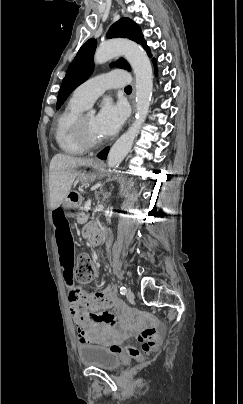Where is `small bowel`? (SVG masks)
<instances>
[{"instance_id": "c3829d8e", "label": "small bowel", "mask_w": 243, "mask_h": 404, "mask_svg": "<svg viewBox=\"0 0 243 404\" xmlns=\"http://www.w3.org/2000/svg\"><path fill=\"white\" fill-rule=\"evenodd\" d=\"M52 223L63 279L68 294L72 298L73 294L78 292L73 278L74 246L68 219L62 207H57L52 211ZM70 314L77 326L80 343L103 344L119 342L124 337V334L117 333L113 329L116 324L125 329L124 321H116L115 316L110 312L83 311L75 304H72Z\"/></svg>"}]
</instances>
